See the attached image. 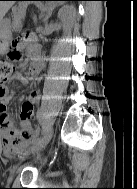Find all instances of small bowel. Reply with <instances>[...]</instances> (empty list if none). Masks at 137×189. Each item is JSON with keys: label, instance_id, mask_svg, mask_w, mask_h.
Wrapping results in <instances>:
<instances>
[{"label": "small bowel", "instance_id": "small-bowel-1", "mask_svg": "<svg viewBox=\"0 0 137 189\" xmlns=\"http://www.w3.org/2000/svg\"><path fill=\"white\" fill-rule=\"evenodd\" d=\"M43 68V61H36L30 65L27 75L16 73L12 79L25 85L31 80L38 79ZM13 95L14 90H10L5 85L0 86V140L4 153L7 156H20L27 149L33 133V108L39 101L40 92L37 88H33L27 100L22 104L19 112V129L15 126L7 112V105L13 98Z\"/></svg>", "mask_w": 137, "mask_h": 189}]
</instances>
